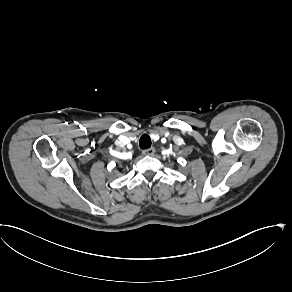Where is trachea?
Listing matches in <instances>:
<instances>
[{
  "label": "trachea",
  "instance_id": "obj_1",
  "mask_svg": "<svg viewBox=\"0 0 292 292\" xmlns=\"http://www.w3.org/2000/svg\"><path fill=\"white\" fill-rule=\"evenodd\" d=\"M152 141L149 135L143 134L140 137L139 146L141 149L145 150L151 147Z\"/></svg>",
  "mask_w": 292,
  "mask_h": 292
}]
</instances>
